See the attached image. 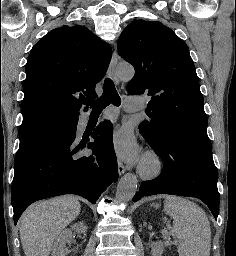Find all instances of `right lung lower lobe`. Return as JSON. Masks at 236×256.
I'll return each instance as SVG.
<instances>
[{
    "label": "right lung lower lobe",
    "instance_id": "obj_1",
    "mask_svg": "<svg viewBox=\"0 0 236 256\" xmlns=\"http://www.w3.org/2000/svg\"><path fill=\"white\" fill-rule=\"evenodd\" d=\"M112 128L109 121L100 123L91 134L94 142L77 144L76 126L19 148L11 192L14 223L31 203L49 197L77 194L95 204L118 179Z\"/></svg>",
    "mask_w": 236,
    "mask_h": 256
}]
</instances>
